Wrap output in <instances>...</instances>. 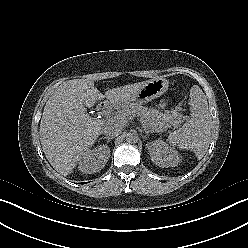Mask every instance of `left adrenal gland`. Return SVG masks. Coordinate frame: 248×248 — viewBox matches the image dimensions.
Returning <instances> with one entry per match:
<instances>
[{"label":"left adrenal gland","instance_id":"a2214340","mask_svg":"<svg viewBox=\"0 0 248 248\" xmlns=\"http://www.w3.org/2000/svg\"><path fill=\"white\" fill-rule=\"evenodd\" d=\"M149 133H153V131H149L145 129V134L148 135Z\"/></svg>","mask_w":248,"mask_h":248}]
</instances>
